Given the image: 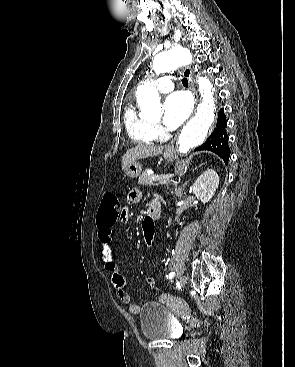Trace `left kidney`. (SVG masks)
Masks as SVG:
<instances>
[{"label":"left kidney","instance_id":"left-kidney-1","mask_svg":"<svg viewBox=\"0 0 295 367\" xmlns=\"http://www.w3.org/2000/svg\"><path fill=\"white\" fill-rule=\"evenodd\" d=\"M219 185V176L213 169H207L194 182L191 190L198 200L208 203Z\"/></svg>","mask_w":295,"mask_h":367}]
</instances>
